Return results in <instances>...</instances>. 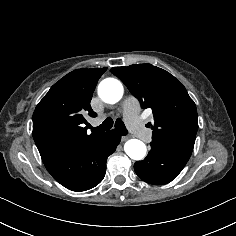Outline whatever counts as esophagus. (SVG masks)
Segmentation results:
<instances>
[{"label": "esophagus", "mask_w": 236, "mask_h": 236, "mask_svg": "<svg viewBox=\"0 0 236 236\" xmlns=\"http://www.w3.org/2000/svg\"><path fill=\"white\" fill-rule=\"evenodd\" d=\"M130 137L128 136V135H123L122 137H121V140L124 142V141H126V140H128Z\"/></svg>", "instance_id": "esophagus-1"}]
</instances>
